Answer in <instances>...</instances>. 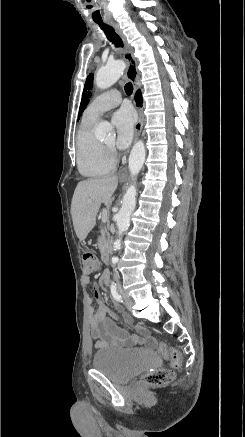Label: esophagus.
<instances>
[{
	"label": "esophagus",
	"mask_w": 245,
	"mask_h": 437,
	"mask_svg": "<svg viewBox=\"0 0 245 437\" xmlns=\"http://www.w3.org/2000/svg\"><path fill=\"white\" fill-rule=\"evenodd\" d=\"M116 33L119 35V37L121 38L123 44H124V59L126 60L127 63V69H126V76L128 78V80L133 84L134 86V90L138 89V82H137V78H138V70H137V61L133 55V49L132 47L128 44L125 35L123 34V32L121 31V29L119 28V26L117 24L112 23ZM142 126H143V113L141 109H138V119L137 122L135 124V141L138 139L141 130H142Z\"/></svg>",
	"instance_id": "obj_1"
}]
</instances>
